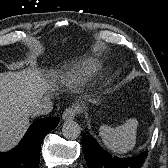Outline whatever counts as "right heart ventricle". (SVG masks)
<instances>
[{
  "label": "right heart ventricle",
  "mask_w": 168,
  "mask_h": 168,
  "mask_svg": "<svg viewBox=\"0 0 168 168\" xmlns=\"http://www.w3.org/2000/svg\"><path fill=\"white\" fill-rule=\"evenodd\" d=\"M95 65L92 61H86L85 63H83L81 66L76 67L75 69H73L71 71V76L77 77V78H81L85 75L90 74L93 69H94Z\"/></svg>",
  "instance_id": "e07e8e85"
}]
</instances>
